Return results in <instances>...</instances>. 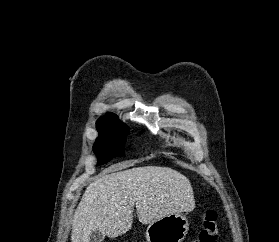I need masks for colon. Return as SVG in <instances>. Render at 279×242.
<instances>
[{"mask_svg":"<svg viewBox=\"0 0 279 242\" xmlns=\"http://www.w3.org/2000/svg\"><path fill=\"white\" fill-rule=\"evenodd\" d=\"M218 214L216 210L209 209L203 214V225L197 236L191 242H217L218 229H217Z\"/></svg>","mask_w":279,"mask_h":242,"instance_id":"colon-1","label":"colon"}]
</instances>
